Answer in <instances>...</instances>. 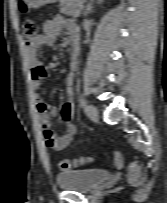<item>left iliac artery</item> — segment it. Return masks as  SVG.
I'll return each instance as SVG.
<instances>
[{"label":"left iliac artery","mask_w":167,"mask_h":203,"mask_svg":"<svg viewBox=\"0 0 167 203\" xmlns=\"http://www.w3.org/2000/svg\"><path fill=\"white\" fill-rule=\"evenodd\" d=\"M79 102H80V106H81L82 108H85V107H86L87 101L85 100V98L81 97L80 100H79Z\"/></svg>","instance_id":"44dca946"}]
</instances>
